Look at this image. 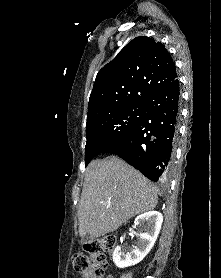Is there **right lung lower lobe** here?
<instances>
[{
  "label": "right lung lower lobe",
  "mask_w": 221,
  "mask_h": 278,
  "mask_svg": "<svg viewBox=\"0 0 221 278\" xmlns=\"http://www.w3.org/2000/svg\"><path fill=\"white\" fill-rule=\"evenodd\" d=\"M145 106L146 113L138 125L101 153L118 154L150 180L165 181L170 173L178 129V79L152 92Z\"/></svg>",
  "instance_id": "1"
}]
</instances>
